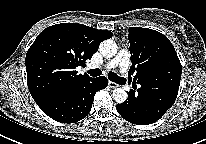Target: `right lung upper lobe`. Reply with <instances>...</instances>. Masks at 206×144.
Masks as SVG:
<instances>
[{"label": "right lung upper lobe", "instance_id": "1", "mask_svg": "<svg viewBox=\"0 0 206 144\" xmlns=\"http://www.w3.org/2000/svg\"><path fill=\"white\" fill-rule=\"evenodd\" d=\"M113 34L78 23H61L44 29L26 54L29 91L39 105L57 94L74 90L91 79L77 74L97 51L99 44Z\"/></svg>", "mask_w": 206, "mask_h": 144}]
</instances>
